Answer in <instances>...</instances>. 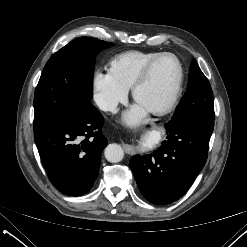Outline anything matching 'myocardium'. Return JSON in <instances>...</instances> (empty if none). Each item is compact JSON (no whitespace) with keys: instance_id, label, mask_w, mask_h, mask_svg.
Wrapping results in <instances>:
<instances>
[{"instance_id":"myocardium-1","label":"myocardium","mask_w":247,"mask_h":247,"mask_svg":"<svg viewBox=\"0 0 247 247\" xmlns=\"http://www.w3.org/2000/svg\"><path fill=\"white\" fill-rule=\"evenodd\" d=\"M164 57H172L178 66V77L176 80V84L174 87V90L170 96V98L161 106L159 107H155V108H150L147 109L148 112L154 114V115H164L168 112H170L174 106L176 105L180 94H181V90H182V84H183V78H184V72H183V67L181 64V61L179 60V58L170 52H163L158 54L156 57H154L153 59H151L145 66L144 68L141 70V72L139 73V75L137 76V78L135 79L132 87H131V95L134 101L137 102V92L139 90V88L145 83V81L147 80L152 68L154 67V65L162 58Z\"/></svg>"}]
</instances>
